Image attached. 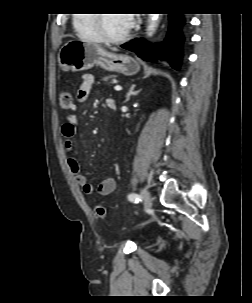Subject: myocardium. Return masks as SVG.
<instances>
[{"label": "myocardium", "instance_id": "f54148a6", "mask_svg": "<svg viewBox=\"0 0 252 303\" xmlns=\"http://www.w3.org/2000/svg\"><path fill=\"white\" fill-rule=\"evenodd\" d=\"M96 15V21L97 26L100 32V35L103 39V41L107 43H121L125 40H127L131 34V28L129 27L125 33H123L120 36H110L106 33L104 29V15L105 14H95Z\"/></svg>", "mask_w": 252, "mask_h": 303}]
</instances>
